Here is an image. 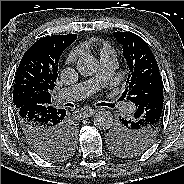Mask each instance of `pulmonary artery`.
Here are the masks:
<instances>
[{
  "label": "pulmonary artery",
  "mask_w": 184,
  "mask_h": 184,
  "mask_svg": "<svg viewBox=\"0 0 184 184\" xmlns=\"http://www.w3.org/2000/svg\"><path fill=\"white\" fill-rule=\"evenodd\" d=\"M101 69L93 78L79 84L62 88L56 93L59 102H74L97 92L113 75L118 66L116 57L101 59ZM128 112H132L135 107L132 103H122Z\"/></svg>",
  "instance_id": "1"
}]
</instances>
